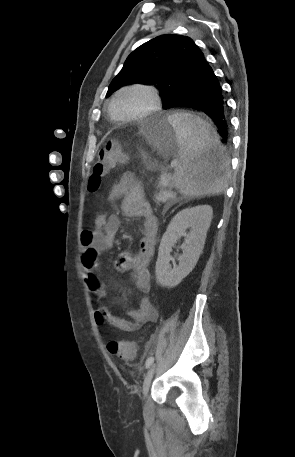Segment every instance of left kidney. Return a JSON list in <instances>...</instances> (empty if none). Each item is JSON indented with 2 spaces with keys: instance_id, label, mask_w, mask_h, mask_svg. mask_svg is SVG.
<instances>
[{
  "instance_id": "left-kidney-1",
  "label": "left kidney",
  "mask_w": 295,
  "mask_h": 457,
  "mask_svg": "<svg viewBox=\"0 0 295 457\" xmlns=\"http://www.w3.org/2000/svg\"><path fill=\"white\" fill-rule=\"evenodd\" d=\"M212 214L211 206L201 205L183 209L173 217L160 242L155 268L157 282L162 287L177 286L193 270L203 251ZM188 228L191 230L187 233ZM182 236L186 237V244L182 247L183 255L179 264L172 267L170 253Z\"/></svg>"
}]
</instances>
